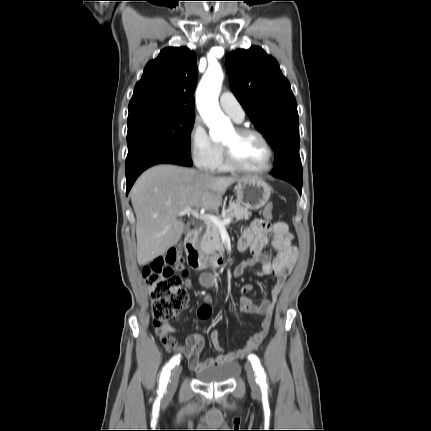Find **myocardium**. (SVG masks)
Listing matches in <instances>:
<instances>
[{"label": "myocardium", "instance_id": "myocardium-1", "mask_svg": "<svg viewBox=\"0 0 431 431\" xmlns=\"http://www.w3.org/2000/svg\"><path fill=\"white\" fill-rule=\"evenodd\" d=\"M235 131L239 136L254 135L258 137L266 147L268 159L266 164L260 168H248L242 166L234 157L231 148L223 143L225 162L230 167V169L241 173H264L269 171L273 167L275 154L272 145L266 136L259 130L250 127H237L235 128Z\"/></svg>", "mask_w": 431, "mask_h": 431}]
</instances>
